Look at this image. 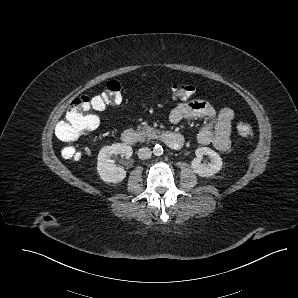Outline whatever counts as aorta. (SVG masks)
<instances>
[{
	"instance_id": "aorta-1",
	"label": "aorta",
	"mask_w": 298,
	"mask_h": 298,
	"mask_svg": "<svg viewBox=\"0 0 298 298\" xmlns=\"http://www.w3.org/2000/svg\"><path fill=\"white\" fill-rule=\"evenodd\" d=\"M153 154L155 156H161L163 154V148L161 145L157 144L153 148Z\"/></svg>"
}]
</instances>
